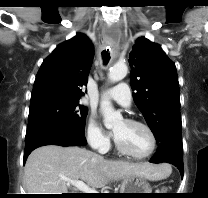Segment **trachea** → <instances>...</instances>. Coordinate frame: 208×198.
<instances>
[{
    "label": "trachea",
    "instance_id": "1",
    "mask_svg": "<svg viewBox=\"0 0 208 198\" xmlns=\"http://www.w3.org/2000/svg\"><path fill=\"white\" fill-rule=\"evenodd\" d=\"M109 50V49H108ZM102 58L105 64H107L110 60V54L108 53V51L104 50L102 52Z\"/></svg>",
    "mask_w": 208,
    "mask_h": 198
}]
</instances>
